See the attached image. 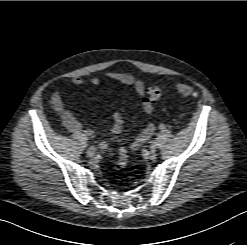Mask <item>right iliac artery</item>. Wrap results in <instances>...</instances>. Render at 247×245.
I'll return each mask as SVG.
<instances>
[{"instance_id": "82829eb1", "label": "right iliac artery", "mask_w": 247, "mask_h": 245, "mask_svg": "<svg viewBox=\"0 0 247 245\" xmlns=\"http://www.w3.org/2000/svg\"><path fill=\"white\" fill-rule=\"evenodd\" d=\"M90 149L95 151V147L94 146H91Z\"/></svg>"}]
</instances>
